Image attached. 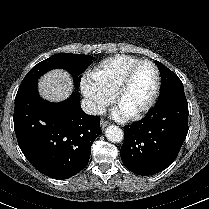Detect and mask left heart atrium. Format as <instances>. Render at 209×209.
Returning a JSON list of instances; mask_svg holds the SVG:
<instances>
[{
	"mask_svg": "<svg viewBox=\"0 0 209 209\" xmlns=\"http://www.w3.org/2000/svg\"><path fill=\"white\" fill-rule=\"evenodd\" d=\"M115 115H116L118 118H126V117H128V116L130 115V113L119 107V108L116 110Z\"/></svg>",
	"mask_w": 209,
	"mask_h": 209,
	"instance_id": "39dd6f15",
	"label": "left heart atrium"
}]
</instances>
